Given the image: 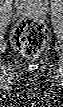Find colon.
Here are the masks:
<instances>
[{
	"instance_id": "5ec220e1",
	"label": "colon",
	"mask_w": 63,
	"mask_h": 107,
	"mask_svg": "<svg viewBox=\"0 0 63 107\" xmlns=\"http://www.w3.org/2000/svg\"><path fill=\"white\" fill-rule=\"evenodd\" d=\"M48 38L45 24L39 20H23L12 32L14 46L23 54L33 56L44 47Z\"/></svg>"
}]
</instances>
